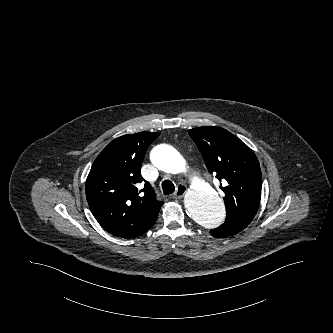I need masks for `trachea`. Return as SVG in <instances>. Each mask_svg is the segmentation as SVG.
Returning a JSON list of instances; mask_svg holds the SVG:
<instances>
[{
	"label": "trachea",
	"mask_w": 333,
	"mask_h": 333,
	"mask_svg": "<svg viewBox=\"0 0 333 333\" xmlns=\"http://www.w3.org/2000/svg\"><path fill=\"white\" fill-rule=\"evenodd\" d=\"M162 190L164 195H169L175 191V186L170 180H165L162 182Z\"/></svg>",
	"instance_id": "3493384b"
}]
</instances>
